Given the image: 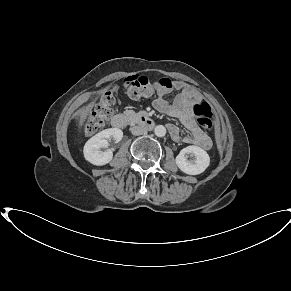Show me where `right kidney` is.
Masks as SVG:
<instances>
[{"instance_id":"right-kidney-1","label":"right kidney","mask_w":291,"mask_h":291,"mask_svg":"<svg viewBox=\"0 0 291 291\" xmlns=\"http://www.w3.org/2000/svg\"><path fill=\"white\" fill-rule=\"evenodd\" d=\"M123 132L119 128L105 129L90 138L84 145V158L96 166L108 164L113 158V152L109 147L108 140H114L115 143L121 141ZM106 148V150H102Z\"/></svg>"}]
</instances>
